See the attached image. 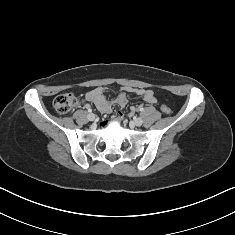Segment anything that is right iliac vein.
Segmentation results:
<instances>
[{"mask_svg":"<svg viewBox=\"0 0 235 235\" xmlns=\"http://www.w3.org/2000/svg\"><path fill=\"white\" fill-rule=\"evenodd\" d=\"M88 119H89V121H94L96 119V116L93 113H90L88 115Z\"/></svg>","mask_w":235,"mask_h":235,"instance_id":"right-iliac-vein-1","label":"right iliac vein"}]
</instances>
